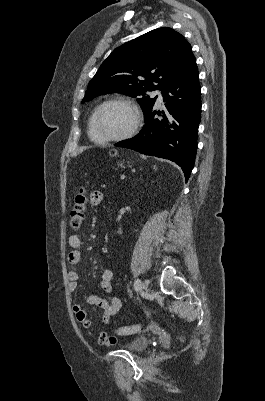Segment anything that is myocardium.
<instances>
[{
    "mask_svg": "<svg viewBox=\"0 0 265 401\" xmlns=\"http://www.w3.org/2000/svg\"><path fill=\"white\" fill-rule=\"evenodd\" d=\"M115 104L126 105L132 110V112H133L132 125L121 135L107 138V139H98L94 134L95 122L98 119L101 112L105 108H107L110 105H115ZM141 121H142L141 111H140L139 107L137 106V104L134 103L132 100L126 99V98L111 99V100L105 101L103 104H101L94 112V114L89 122V135H90L91 139L96 143H108V142L121 141V140H124V139L132 136L137 131Z\"/></svg>",
    "mask_w": 265,
    "mask_h": 401,
    "instance_id": "f54148a6",
    "label": "myocardium"
}]
</instances>
